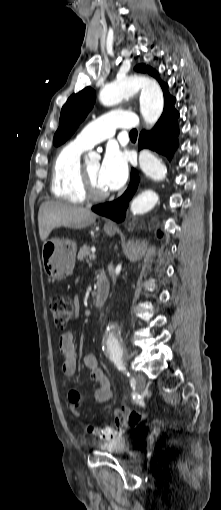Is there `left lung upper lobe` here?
<instances>
[{"label": "left lung upper lobe", "mask_w": 221, "mask_h": 510, "mask_svg": "<svg viewBox=\"0 0 221 510\" xmlns=\"http://www.w3.org/2000/svg\"><path fill=\"white\" fill-rule=\"evenodd\" d=\"M135 70L140 72H147L151 76L155 77L164 93V111L170 108H174L175 98L168 93V86L162 82L159 78L158 73L144 64L135 67ZM96 99V92L86 87L77 94H73L69 97L66 104L63 106L60 115L59 128L54 135V145L59 146L64 143L78 128L79 124L85 119L89 111L92 109Z\"/></svg>", "instance_id": "5c2ea615"}]
</instances>
